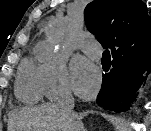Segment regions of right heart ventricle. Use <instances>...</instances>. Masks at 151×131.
Masks as SVG:
<instances>
[{
    "mask_svg": "<svg viewBox=\"0 0 151 131\" xmlns=\"http://www.w3.org/2000/svg\"><path fill=\"white\" fill-rule=\"evenodd\" d=\"M15 93L19 100L27 104L37 103L44 96L39 65L32 59H25L19 68Z\"/></svg>",
    "mask_w": 151,
    "mask_h": 131,
    "instance_id": "1",
    "label": "right heart ventricle"
}]
</instances>
